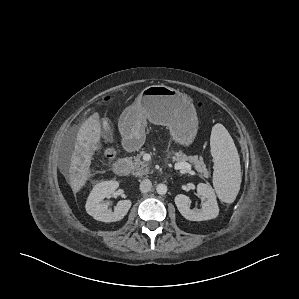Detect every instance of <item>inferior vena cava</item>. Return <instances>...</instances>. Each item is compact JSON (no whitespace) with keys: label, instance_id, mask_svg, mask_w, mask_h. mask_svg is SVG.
<instances>
[{"label":"inferior vena cava","instance_id":"obj_1","mask_svg":"<svg viewBox=\"0 0 299 299\" xmlns=\"http://www.w3.org/2000/svg\"><path fill=\"white\" fill-rule=\"evenodd\" d=\"M152 188V183L149 179H144L140 182V191L146 193Z\"/></svg>","mask_w":299,"mask_h":299}]
</instances>
